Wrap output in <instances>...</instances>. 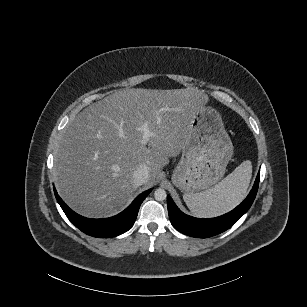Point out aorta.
<instances>
[{
	"label": "aorta",
	"instance_id": "obj_1",
	"mask_svg": "<svg viewBox=\"0 0 307 307\" xmlns=\"http://www.w3.org/2000/svg\"><path fill=\"white\" fill-rule=\"evenodd\" d=\"M166 191L164 189H156L154 192V197L157 201H162L164 199H166Z\"/></svg>",
	"mask_w": 307,
	"mask_h": 307
}]
</instances>
